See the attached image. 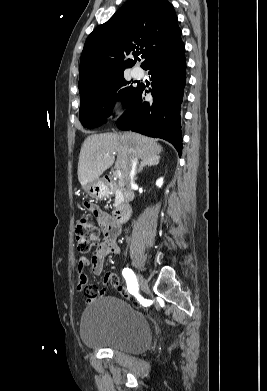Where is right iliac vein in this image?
I'll return each mask as SVG.
<instances>
[{
  "label": "right iliac vein",
  "mask_w": 267,
  "mask_h": 391,
  "mask_svg": "<svg viewBox=\"0 0 267 391\" xmlns=\"http://www.w3.org/2000/svg\"><path fill=\"white\" fill-rule=\"evenodd\" d=\"M137 280H138V284H139L140 289L142 291H145L148 287L146 279L141 274H138Z\"/></svg>",
  "instance_id": "right-iliac-vein-1"
}]
</instances>
